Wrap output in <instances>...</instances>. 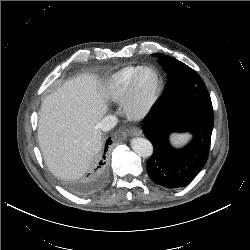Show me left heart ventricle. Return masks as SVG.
I'll return each mask as SVG.
<instances>
[{
	"mask_svg": "<svg viewBox=\"0 0 250 250\" xmlns=\"http://www.w3.org/2000/svg\"><path fill=\"white\" fill-rule=\"evenodd\" d=\"M156 78L153 72L147 71L138 86L137 90V105H142L154 90Z\"/></svg>",
	"mask_w": 250,
	"mask_h": 250,
	"instance_id": "1",
	"label": "left heart ventricle"
}]
</instances>
